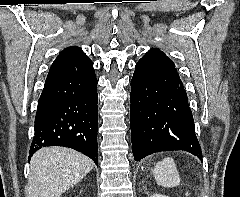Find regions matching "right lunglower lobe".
Instances as JSON below:
<instances>
[{
    "instance_id": "right-lung-lower-lobe-1",
    "label": "right lung lower lobe",
    "mask_w": 240,
    "mask_h": 197,
    "mask_svg": "<svg viewBox=\"0 0 240 197\" xmlns=\"http://www.w3.org/2000/svg\"><path fill=\"white\" fill-rule=\"evenodd\" d=\"M97 103L93 65L49 73L38 101L29 159L42 147L64 146L87 155L98 166Z\"/></svg>"
}]
</instances>
